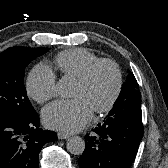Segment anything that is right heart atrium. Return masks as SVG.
Wrapping results in <instances>:
<instances>
[{
  "label": "right heart atrium",
  "instance_id": "1",
  "mask_svg": "<svg viewBox=\"0 0 168 168\" xmlns=\"http://www.w3.org/2000/svg\"><path fill=\"white\" fill-rule=\"evenodd\" d=\"M25 87L30 98L44 103L56 95V75L50 67L37 65L30 71Z\"/></svg>",
  "mask_w": 168,
  "mask_h": 168
}]
</instances>
